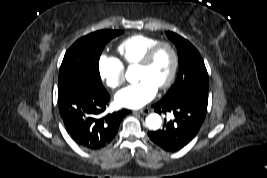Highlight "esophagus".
Wrapping results in <instances>:
<instances>
[{"label": "esophagus", "mask_w": 267, "mask_h": 178, "mask_svg": "<svg viewBox=\"0 0 267 178\" xmlns=\"http://www.w3.org/2000/svg\"><path fill=\"white\" fill-rule=\"evenodd\" d=\"M136 112L146 115V114H148L150 112V110H149V108H143V109H140V110H138Z\"/></svg>", "instance_id": "1"}]
</instances>
